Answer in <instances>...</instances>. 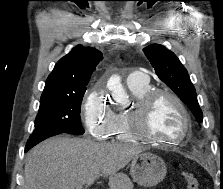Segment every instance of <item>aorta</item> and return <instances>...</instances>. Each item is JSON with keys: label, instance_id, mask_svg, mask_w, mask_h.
I'll use <instances>...</instances> for the list:
<instances>
[{"label": "aorta", "instance_id": "762f6f07", "mask_svg": "<svg viewBox=\"0 0 223 189\" xmlns=\"http://www.w3.org/2000/svg\"><path fill=\"white\" fill-rule=\"evenodd\" d=\"M107 87L111 90L112 96L117 103L120 105H126L128 103V96L121 84L120 76H111L107 82Z\"/></svg>", "mask_w": 223, "mask_h": 189}]
</instances>
